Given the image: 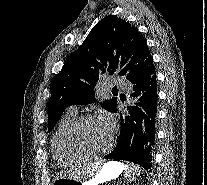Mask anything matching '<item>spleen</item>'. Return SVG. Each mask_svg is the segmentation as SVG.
<instances>
[{"label":"spleen","mask_w":207,"mask_h":185,"mask_svg":"<svg viewBox=\"0 0 207 185\" xmlns=\"http://www.w3.org/2000/svg\"><path fill=\"white\" fill-rule=\"evenodd\" d=\"M126 171H132L126 174V183H131L135 177H146L147 173L143 172V167L138 166V162H125Z\"/></svg>","instance_id":"3e777b00"}]
</instances>
